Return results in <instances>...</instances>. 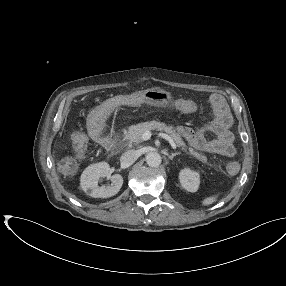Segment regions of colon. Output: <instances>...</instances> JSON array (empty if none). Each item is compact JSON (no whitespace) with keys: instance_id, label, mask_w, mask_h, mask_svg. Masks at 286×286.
<instances>
[{"instance_id":"5ec220e1","label":"colon","mask_w":286,"mask_h":286,"mask_svg":"<svg viewBox=\"0 0 286 286\" xmlns=\"http://www.w3.org/2000/svg\"><path fill=\"white\" fill-rule=\"evenodd\" d=\"M73 140H74V145L78 150H82L84 148L86 139L82 133H80V132L76 133L74 135ZM70 161H73V160H70ZM228 168H229V171L234 172L238 169V164L237 163H230Z\"/></svg>"}]
</instances>
